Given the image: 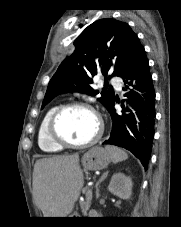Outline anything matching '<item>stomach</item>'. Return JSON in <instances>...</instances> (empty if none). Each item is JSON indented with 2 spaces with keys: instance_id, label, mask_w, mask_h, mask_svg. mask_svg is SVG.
Masks as SVG:
<instances>
[{
  "instance_id": "stomach-1",
  "label": "stomach",
  "mask_w": 181,
  "mask_h": 227,
  "mask_svg": "<svg viewBox=\"0 0 181 227\" xmlns=\"http://www.w3.org/2000/svg\"><path fill=\"white\" fill-rule=\"evenodd\" d=\"M111 162V156L108 151L102 147L96 146L83 154L81 158L82 166L85 170H102ZM77 217V216H69Z\"/></svg>"
}]
</instances>
